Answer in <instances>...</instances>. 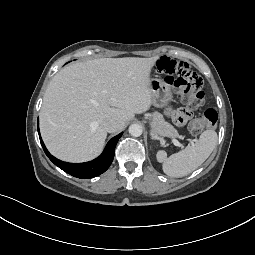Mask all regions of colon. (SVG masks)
<instances>
[{
    "mask_svg": "<svg viewBox=\"0 0 255 255\" xmlns=\"http://www.w3.org/2000/svg\"><path fill=\"white\" fill-rule=\"evenodd\" d=\"M156 69L166 75V80L182 89V98L189 108H195L204 102L205 93L202 89V78L186 62L168 57H162L156 65ZM218 119L217 112L206 109L195 117L189 124V130L193 134H199L204 129L213 127Z\"/></svg>",
    "mask_w": 255,
    "mask_h": 255,
    "instance_id": "obj_1",
    "label": "colon"
}]
</instances>
